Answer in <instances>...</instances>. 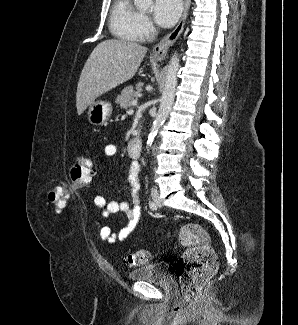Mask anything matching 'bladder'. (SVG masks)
<instances>
[{"mask_svg": "<svg viewBox=\"0 0 298 325\" xmlns=\"http://www.w3.org/2000/svg\"><path fill=\"white\" fill-rule=\"evenodd\" d=\"M128 278L132 281L148 282L168 291L174 288L173 278L166 272L162 265L157 263L143 265L130 271Z\"/></svg>", "mask_w": 298, "mask_h": 325, "instance_id": "31cf9c89", "label": "bladder"}]
</instances>
